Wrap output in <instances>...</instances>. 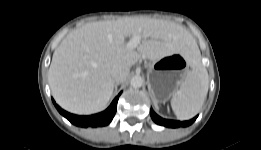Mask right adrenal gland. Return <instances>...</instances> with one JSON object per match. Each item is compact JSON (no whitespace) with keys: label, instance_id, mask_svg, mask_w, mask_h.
Returning <instances> with one entry per match:
<instances>
[{"label":"right adrenal gland","instance_id":"obj_1","mask_svg":"<svg viewBox=\"0 0 261 150\" xmlns=\"http://www.w3.org/2000/svg\"><path fill=\"white\" fill-rule=\"evenodd\" d=\"M118 85H119V83H116V84L114 85V90H115V91L117 90Z\"/></svg>","mask_w":261,"mask_h":150}]
</instances>
